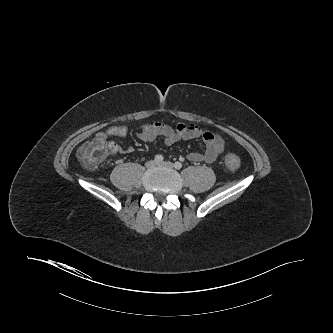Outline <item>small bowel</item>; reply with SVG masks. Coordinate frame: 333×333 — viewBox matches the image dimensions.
Listing matches in <instances>:
<instances>
[{"instance_id": "1", "label": "small bowel", "mask_w": 333, "mask_h": 333, "mask_svg": "<svg viewBox=\"0 0 333 333\" xmlns=\"http://www.w3.org/2000/svg\"><path fill=\"white\" fill-rule=\"evenodd\" d=\"M128 134L126 126H112L97 133L96 138L107 140L109 137H125ZM162 137L165 145L170 146L181 140H192L202 138L206 150L203 153L190 152L187 159L192 162L213 163L224 149V140L217 134L208 130H202L192 123H179L176 128L165 123L157 122L144 125L138 132V138L145 142H152L156 138ZM111 154H126L133 151L131 147L123 149L115 142H108Z\"/></svg>"}]
</instances>
